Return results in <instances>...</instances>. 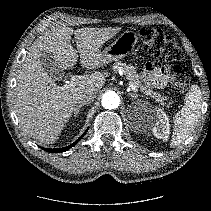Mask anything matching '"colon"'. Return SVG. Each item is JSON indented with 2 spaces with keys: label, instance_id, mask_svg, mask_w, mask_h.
<instances>
[{
  "label": "colon",
  "instance_id": "1",
  "mask_svg": "<svg viewBox=\"0 0 211 211\" xmlns=\"http://www.w3.org/2000/svg\"><path fill=\"white\" fill-rule=\"evenodd\" d=\"M143 49L169 63L179 61L182 51L178 43L160 29L143 28L140 31ZM171 89L176 94L184 93L190 83V77L180 66L173 64L169 69Z\"/></svg>",
  "mask_w": 211,
  "mask_h": 211
}]
</instances>
